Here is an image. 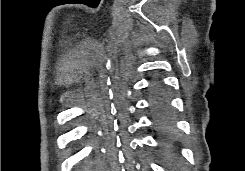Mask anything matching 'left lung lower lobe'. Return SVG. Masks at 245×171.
Returning a JSON list of instances; mask_svg holds the SVG:
<instances>
[{"label": "left lung lower lobe", "mask_w": 245, "mask_h": 171, "mask_svg": "<svg viewBox=\"0 0 245 171\" xmlns=\"http://www.w3.org/2000/svg\"><path fill=\"white\" fill-rule=\"evenodd\" d=\"M152 105L157 117L161 122L164 121L168 117L170 110L169 95L160 83L154 85Z\"/></svg>", "instance_id": "obj_1"}]
</instances>
